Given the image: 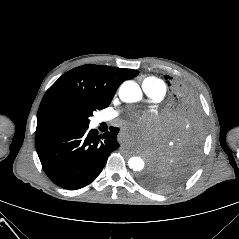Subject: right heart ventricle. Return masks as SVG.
<instances>
[{
	"label": "right heart ventricle",
	"instance_id": "1",
	"mask_svg": "<svg viewBox=\"0 0 239 239\" xmlns=\"http://www.w3.org/2000/svg\"><path fill=\"white\" fill-rule=\"evenodd\" d=\"M146 80H155V78H153V77H148V78H146L144 81H146Z\"/></svg>",
	"mask_w": 239,
	"mask_h": 239
}]
</instances>
